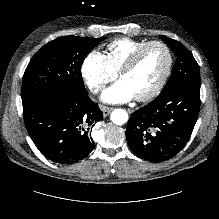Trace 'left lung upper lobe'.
Wrapping results in <instances>:
<instances>
[{"instance_id": "5c2ea615", "label": "left lung upper lobe", "mask_w": 219, "mask_h": 219, "mask_svg": "<svg viewBox=\"0 0 219 219\" xmlns=\"http://www.w3.org/2000/svg\"><path fill=\"white\" fill-rule=\"evenodd\" d=\"M160 38L169 45L170 49L177 57V60L169 81L159 95L167 94L172 89L183 83H200L199 66L192 53L183 44L176 40L170 39L164 35H161Z\"/></svg>"}]
</instances>
